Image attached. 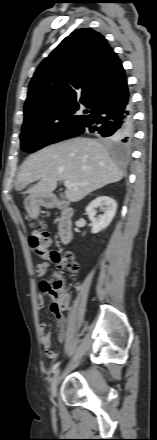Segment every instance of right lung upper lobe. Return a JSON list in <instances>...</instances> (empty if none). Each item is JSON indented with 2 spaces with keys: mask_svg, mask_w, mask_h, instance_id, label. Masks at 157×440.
<instances>
[{
  "mask_svg": "<svg viewBox=\"0 0 157 440\" xmlns=\"http://www.w3.org/2000/svg\"><path fill=\"white\" fill-rule=\"evenodd\" d=\"M129 97L122 63L106 39L92 29H78L37 68L29 84L24 123L81 125ZM81 106L91 114L75 115Z\"/></svg>",
  "mask_w": 157,
  "mask_h": 440,
  "instance_id": "cb5924a9",
  "label": "right lung upper lobe"
}]
</instances>
